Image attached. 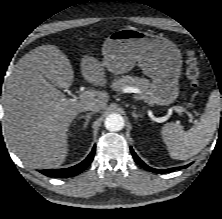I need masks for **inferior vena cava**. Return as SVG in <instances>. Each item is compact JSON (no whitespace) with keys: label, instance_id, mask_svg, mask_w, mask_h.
<instances>
[{"label":"inferior vena cava","instance_id":"inferior-vena-cava-1","mask_svg":"<svg viewBox=\"0 0 222 219\" xmlns=\"http://www.w3.org/2000/svg\"><path fill=\"white\" fill-rule=\"evenodd\" d=\"M102 108V103L99 101L90 102L83 107V111L98 112Z\"/></svg>","mask_w":222,"mask_h":219}]
</instances>
